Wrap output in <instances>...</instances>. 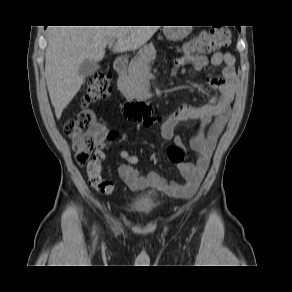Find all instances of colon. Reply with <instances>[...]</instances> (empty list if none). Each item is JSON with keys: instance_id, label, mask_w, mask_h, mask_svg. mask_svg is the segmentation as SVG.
Listing matches in <instances>:
<instances>
[{"instance_id": "1", "label": "colon", "mask_w": 292, "mask_h": 292, "mask_svg": "<svg viewBox=\"0 0 292 292\" xmlns=\"http://www.w3.org/2000/svg\"><path fill=\"white\" fill-rule=\"evenodd\" d=\"M230 30L227 27H213L200 33L189 42L185 49L190 53L209 55L216 50L229 45ZM112 93L110 77L106 73H98L89 81L82 95L83 109L74 119L66 121L64 133L72 140L75 160L80 165H86L89 184L98 192L110 194L114 191V184L101 175L104 153L95 150V139L101 130L96 122L94 113L86 106L101 99L108 98ZM166 158L176 165L184 163V150L172 145L166 149ZM161 159L158 153H152L150 160L157 163Z\"/></svg>"}]
</instances>
